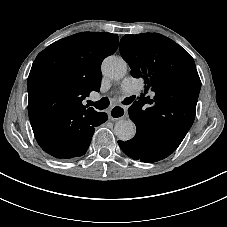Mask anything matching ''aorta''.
Returning a JSON list of instances; mask_svg holds the SVG:
<instances>
[{
  "mask_svg": "<svg viewBox=\"0 0 227 227\" xmlns=\"http://www.w3.org/2000/svg\"><path fill=\"white\" fill-rule=\"evenodd\" d=\"M101 69L104 76L112 80H119L126 75L127 64L120 57L109 56L103 61ZM114 132L119 140L127 141L134 137L136 126L131 120L121 119L116 122Z\"/></svg>",
  "mask_w": 227,
  "mask_h": 227,
  "instance_id": "aorta-1",
  "label": "aorta"
}]
</instances>
